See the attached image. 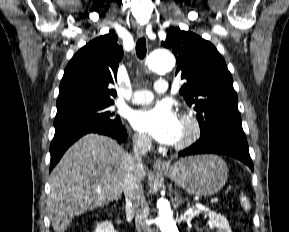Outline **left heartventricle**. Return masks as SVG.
<instances>
[{
	"label": "left heart ventricle",
	"mask_w": 289,
	"mask_h": 232,
	"mask_svg": "<svg viewBox=\"0 0 289 232\" xmlns=\"http://www.w3.org/2000/svg\"><path fill=\"white\" fill-rule=\"evenodd\" d=\"M186 132H187L186 128L181 124V132H180V137L178 141L184 138V136L186 135Z\"/></svg>",
	"instance_id": "b2bd125f"
}]
</instances>
